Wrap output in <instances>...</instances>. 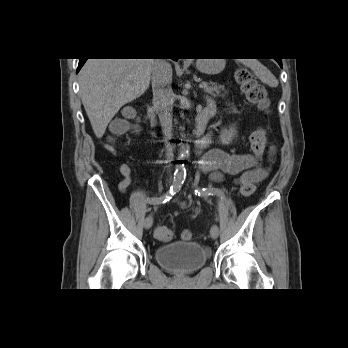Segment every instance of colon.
<instances>
[{"mask_svg": "<svg viewBox=\"0 0 348 348\" xmlns=\"http://www.w3.org/2000/svg\"><path fill=\"white\" fill-rule=\"evenodd\" d=\"M235 76L247 100L261 109H266L269 105L266 88L253 77L251 72L246 68H240L237 70ZM135 118V111L132 109L127 110L125 112V119H121L114 123V132L116 134L123 133L129 127L134 126ZM267 136L268 131L265 128L256 129L250 135L249 141L251 150L258 160L262 158L265 151ZM109 149L113 151L111 146H109ZM254 190V184H244L240 188V195L243 197L250 196ZM191 236L192 234L188 230L182 233V238L184 240H189ZM154 237L158 241L166 242L171 240L172 233L167 226L158 225L154 230Z\"/></svg>", "mask_w": 348, "mask_h": 348, "instance_id": "1", "label": "colon"}]
</instances>
